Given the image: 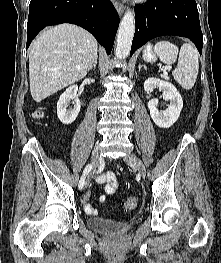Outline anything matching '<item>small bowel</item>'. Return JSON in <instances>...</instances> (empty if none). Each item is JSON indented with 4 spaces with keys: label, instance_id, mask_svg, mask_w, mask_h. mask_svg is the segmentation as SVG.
I'll return each mask as SVG.
<instances>
[{
    "label": "small bowel",
    "instance_id": "obj_1",
    "mask_svg": "<svg viewBox=\"0 0 221 263\" xmlns=\"http://www.w3.org/2000/svg\"><path fill=\"white\" fill-rule=\"evenodd\" d=\"M95 182L99 185L104 186V194H101L99 197L100 202L105 201L106 195L114 194L117 187H118L117 178H116L115 174L113 172H110V171L104 172V173L98 175L95 179ZM89 199H90V193L88 192L83 197V203L85 205V210L88 213H95L96 208L91 203H89Z\"/></svg>",
    "mask_w": 221,
    "mask_h": 263
}]
</instances>
